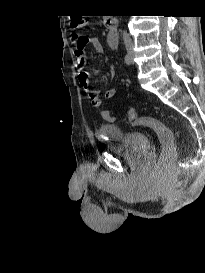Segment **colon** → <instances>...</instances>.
<instances>
[{"instance_id": "colon-1", "label": "colon", "mask_w": 205, "mask_h": 273, "mask_svg": "<svg viewBox=\"0 0 205 273\" xmlns=\"http://www.w3.org/2000/svg\"><path fill=\"white\" fill-rule=\"evenodd\" d=\"M87 23L88 22L84 17H74L72 27L74 30L80 31L87 26ZM107 118L111 120L113 117L107 113ZM127 118L132 125L148 127L157 133L162 144V152L161 158L158 162V169L161 172H170L175 166L178 155L173 132L154 117L139 116L133 108L128 110Z\"/></svg>"}]
</instances>
